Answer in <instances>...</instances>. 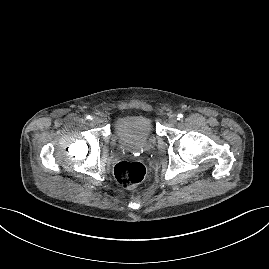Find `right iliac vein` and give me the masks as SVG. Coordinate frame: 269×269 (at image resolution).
<instances>
[{
    "instance_id": "63e3f726",
    "label": "right iliac vein",
    "mask_w": 269,
    "mask_h": 269,
    "mask_svg": "<svg viewBox=\"0 0 269 269\" xmlns=\"http://www.w3.org/2000/svg\"><path fill=\"white\" fill-rule=\"evenodd\" d=\"M92 123L93 124H99L100 123V119H99V117H97V116H94L93 118H92Z\"/></svg>"
}]
</instances>
